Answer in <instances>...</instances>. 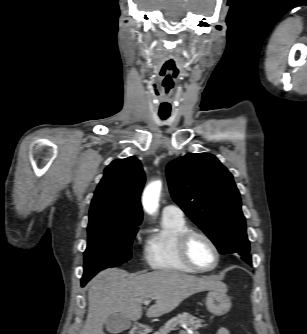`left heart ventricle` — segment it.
Returning <instances> with one entry per match:
<instances>
[{
	"instance_id": "left-heart-ventricle-1",
	"label": "left heart ventricle",
	"mask_w": 307,
	"mask_h": 334,
	"mask_svg": "<svg viewBox=\"0 0 307 334\" xmlns=\"http://www.w3.org/2000/svg\"><path fill=\"white\" fill-rule=\"evenodd\" d=\"M190 255L193 261L202 268L211 267L216 259L215 252L203 238L194 237L190 243Z\"/></svg>"
}]
</instances>
